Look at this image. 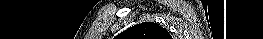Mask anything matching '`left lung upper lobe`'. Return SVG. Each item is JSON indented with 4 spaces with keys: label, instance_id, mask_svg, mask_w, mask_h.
Here are the masks:
<instances>
[{
    "label": "left lung upper lobe",
    "instance_id": "left-lung-upper-lobe-1",
    "mask_svg": "<svg viewBox=\"0 0 263 39\" xmlns=\"http://www.w3.org/2000/svg\"><path fill=\"white\" fill-rule=\"evenodd\" d=\"M118 39H172L169 32L154 22H144L122 32Z\"/></svg>",
    "mask_w": 263,
    "mask_h": 39
}]
</instances>
